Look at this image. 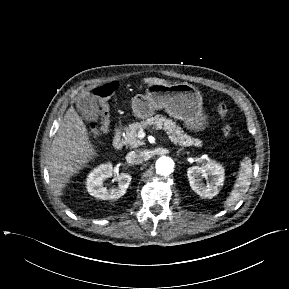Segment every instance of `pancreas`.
Masks as SVG:
<instances>
[{
    "label": "pancreas",
    "mask_w": 289,
    "mask_h": 289,
    "mask_svg": "<svg viewBox=\"0 0 289 289\" xmlns=\"http://www.w3.org/2000/svg\"><path fill=\"white\" fill-rule=\"evenodd\" d=\"M149 126H153L157 130H164L168 135L171 142L180 146H201L199 139L192 138L191 136L184 133L181 127L177 126L171 119H167L162 115H155L154 117L147 118L141 122L130 124L125 128L124 143L131 148H136L143 145V141L138 137V132L144 130Z\"/></svg>",
    "instance_id": "obj_1"
}]
</instances>
